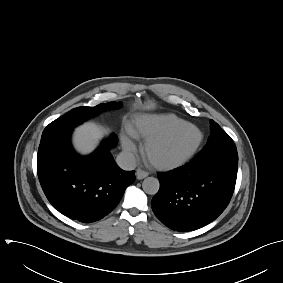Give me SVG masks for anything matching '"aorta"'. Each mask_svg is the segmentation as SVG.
<instances>
[{"instance_id":"1","label":"aorta","mask_w":283,"mask_h":283,"mask_svg":"<svg viewBox=\"0 0 283 283\" xmlns=\"http://www.w3.org/2000/svg\"><path fill=\"white\" fill-rule=\"evenodd\" d=\"M160 187L159 180L155 177H147L142 183V188L145 193L154 195L158 192Z\"/></svg>"}]
</instances>
